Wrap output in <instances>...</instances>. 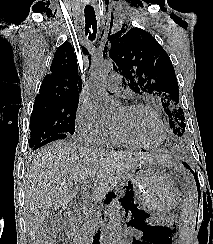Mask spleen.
<instances>
[{
  "mask_svg": "<svg viewBox=\"0 0 213 244\" xmlns=\"http://www.w3.org/2000/svg\"><path fill=\"white\" fill-rule=\"evenodd\" d=\"M198 211V195L196 187H192L186 192L181 206L179 218L180 237L183 244H191L195 234L196 218Z\"/></svg>",
  "mask_w": 213,
  "mask_h": 244,
  "instance_id": "1",
  "label": "spleen"
}]
</instances>
